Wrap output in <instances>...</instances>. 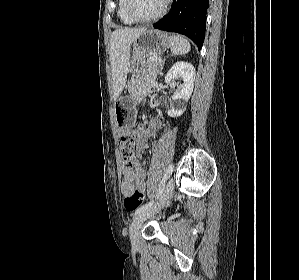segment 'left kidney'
<instances>
[{"label":"left kidney","instance_id":"5707ae66","mask_svg":"<svg viewBox=\"0 0 299 280\" xmlns=\"http://www.w3.org/2000/svg\"><path fill=\"white\" fill-rule=\"evenodd\" d=\"M176 79L183 80V84L177 86L176 92L172 96L171 109L168 111L170 117L181 116L186 109V103L194 88V66L188 62H176L168 71L165 82L170 86H175Z\"/></svg>","mask_w":299,"mask_h":280}]
</instances>
